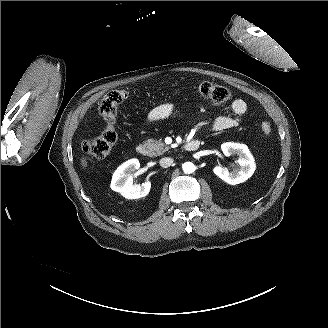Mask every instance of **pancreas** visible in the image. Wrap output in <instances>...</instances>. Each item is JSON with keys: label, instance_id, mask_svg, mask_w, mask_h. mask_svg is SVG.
<instances>
[{"label": "pancreas", "instance_id": "pancreas-1", "mask_svg": "<svg viewBox=\"0 0 328 328\" xmlns=\"http://www.w3.org/2000/svg\"><path fill=\"white\" fill-rule=\"evenodd\" d=\"M144 145L146 146L148 150V156H159L162 155L164 152L168 151L170 147L166 146L164 143L158 140L154 139H148L144 142Z\"/></svg>", "mask_w": 328, "mask_h": 328}]
</instances>
